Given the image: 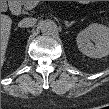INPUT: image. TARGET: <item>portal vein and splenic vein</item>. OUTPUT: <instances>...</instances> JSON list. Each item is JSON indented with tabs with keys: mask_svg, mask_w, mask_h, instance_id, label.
<instances>
[{
	"mask_svg": "<svg viewBox=\"0 0 109 109\" xmlns=\"http://www.w3.org/2000/svg\"><path fill=\"white\" fill-rule=\"evenodd\" d=\"M39 4V1H28L26 4V9L31 10Z\"/></svg>",
	"mask_w": 109,
	"mask_h": 109,
	"instance_id": "obj_1",
	"label": "portal vein and splenic vein"
}]
</instances>
